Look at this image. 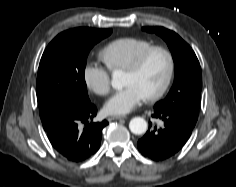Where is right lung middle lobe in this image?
<instances>
[{
	"instance_id": "obj_1",
	"label": "right lung middle lobe",
	"mask_w": 236,
	"mask_h": 187,
	"mask_svg": "<svg viewBox=\"0 0 236 187\" xmlns=\"http://www.w3.org/2000/svg\"><path fill=\"white\" fill-rule=\"evenodd\" d=\"M111 29L80 27L57 35L45 49L36 94L44 129L60 115L89 102L84 71L89 51Z\"/></svg>"
}]
</instances>
